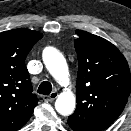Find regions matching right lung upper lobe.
<instances>
[{
    "instance_id": "obj_1",
    "label": "right lung upper lobe",
    "mask_w": 131,
    "mask_h": 131,
    "mask_svg": "<svg viewBox=\"0 0 131 131\" xmlns=\"http://www.w3.org/2000/svg\"><path fill=\"white\" fill-rule=\"evenodd\" d=\"M43 35L25 28L0 33V131H16L38 102L25 59Z\"/></svg>"
}]
</instances>
